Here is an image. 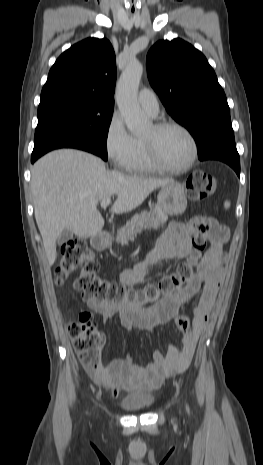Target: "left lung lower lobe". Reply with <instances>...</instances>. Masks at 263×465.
<instances>
[{
    "label": "left lung lower lobe",
    "mask_w": 263,
    "mask_h": 465,
    "mask_svg": "<svg viewBox=\"0 0 263 465\" xmlns=\"http://www.w3.org/2000/svg\"><path fill=\"white\" fill-rule=\"evenodd\" d=\"M201 161L216 159L230 165L238 176H240V159L236 149L235 141L220 142L212 146L206 153L198 155Z\"/></svg>",
    "instance_id": "1"
}]
</instances>
